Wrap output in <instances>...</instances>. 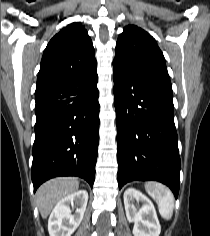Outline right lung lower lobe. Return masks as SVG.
Listing matches in <instances>:
<instances>
[{
	"mask_svg": "<svg viewBox=\"0 0 210 236\" xmlns=\"http://www.w3.org/2000/svg\"><path fill=\"white\" fill-rule=\"evenodd\" d=\"M96 68L35 93L34 192L57 176H78L93 186L99 141Z\"/></svg>",
	"mask_w": 210,
	"mask_h": 236,
	"instance_id": "right-lung-lower-lobe-1",
	"label": "right lung lower lobe"
}]
</instances>
